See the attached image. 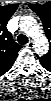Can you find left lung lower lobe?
<instances>
[{"mask_svg": "<svg viewBox=\"0 0 51 101\" xmlns=\"http://www.w3.org/2000/svg\"><path fill=\"white\" fill-rule=\"evenodd\" d=\"M38 58H39V61H40L41 65H42L45 69L50 70V68H51V62L48 63V64H46L45 61H44L42 58H40V57H38Z\"/></svg>", "mask_w": 51, "mask_h": 101, "instance_id": "left-lung-lower-lobe-1", "label": "left lung lower lobe"}]
</instances>
